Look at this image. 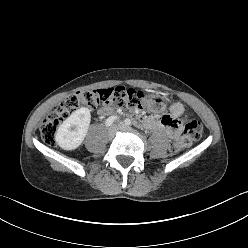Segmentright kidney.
I'll return each instance as SVG.
<instances>
[{"mask_svg": "<svg viewBox=\"0 0 248 248\" xmlns=\"http://www.w3.org/2000/svg\"><path fill=\"white\" fill-rule=\"evenodd\" d=\"M90 110L82 107L74 111L58 128L55 141L64 150L77 149L87 135Z\"/></svg>", "mask_w": 248, "mask_h": 248, "instance_id": "1", "label": "right kidney"}]
</instances>
